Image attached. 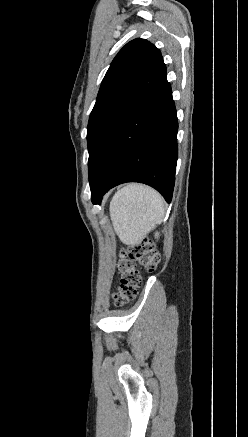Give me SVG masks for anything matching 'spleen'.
I'll return each instance as SVG.
<instances>
[{"label":"spleen","mask_w":248,"mask_h":437,"mask_svg":"<svg viewBox=\"0 0 248 437\" xmlns=\"http://www.w3.org/2000/svg\"><path fill=\"white\" fill-rule=\"evenodd\" d=\"M165 214L162 196L149 186L128 184L117 191L110 204L115 232L125 244H134L160 223Z\"/></svg>","instance_id":"1"}]
</instances>
